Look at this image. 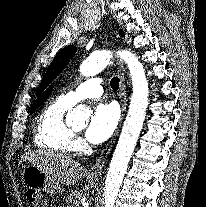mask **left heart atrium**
I'll use <instances>...</instances> for the list:
<instances>
[{
  "instance_id": "39dd6f15",
  "label": "left heart atrium",
  "mask_w": 206,
  "mask_h": 207,
  "mask_svg": "<svg viewBox=\"0 0 206 207\" xmlns=\"http://www.w3.org/2000/svg\"><path fill=\"white\" fill-rule=\"evenodd\" d=\"M119 120V110L114 103L99 104L86 131L87 139L94 144L107 140L114 132Z\"/></svg>"
}]
</instances>
